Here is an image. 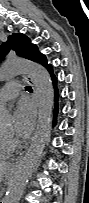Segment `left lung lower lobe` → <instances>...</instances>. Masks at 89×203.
<instances>
[{"label":"left lung lower lobe","instance_id":"0a47b994","mask_svg":"<svg viewBox=\"0 0 89 203\" xmlns=\"http://www.w3.org/2000/svg\"><path fill=\"white\" fill-rule=\"evenodd\" d=\"M38 63L42 64L44 67H46L49 70V72L53 78V81H54L56 105H55V113H54V121L53 122L55 124L56 123V116L58 113V97H59L58 89L56 87L57 79H56L55 75L53 74L52 65L47 63V59H46L45 55L41 54V56L39 57Z\"/></svg>","mask_w":89,"mask_h":203}]
</instances>
